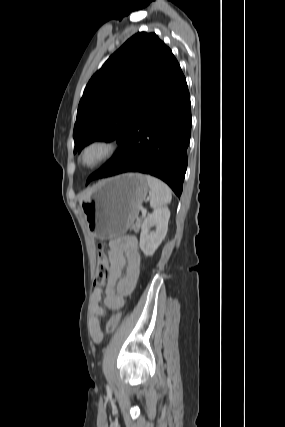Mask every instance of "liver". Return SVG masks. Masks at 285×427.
<instances>
[{
    "instance_id": "liver-1",
    "label": "liver",
    "mask_w": 285,
    "mask_h": 427,
    "mask_svg": "<svg viewBox=\"0 0 285 427\" xmlns=\"http://www.w3.org/2000/svg\"><path fill=\"white\" fill-rule=\"evenodd\" d=\"M92 193V191L91 190H89V191H86L85 193H82L81 195H84V196H90V194Z\"/></svg>"
}]
</instances>
